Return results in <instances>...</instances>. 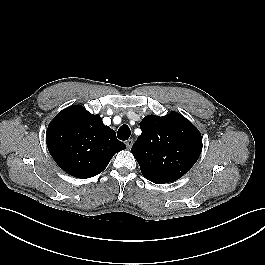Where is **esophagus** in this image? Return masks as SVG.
<instances>
[{"instance_id": "esophagus-1", "label": "esophagus", "mask_w": 265, "mask_h": 265, "mask_svg": "<svg viewBox=\"0 0 265 265\" xmlns=\"http://www.w3.org/2000/svg\"><path fill=\"white\" fill-rule=\"evenodd\" d=\"M125 144L127 148L130 149L133 145V139H128Z\"/></svg>"}]
</instances>
